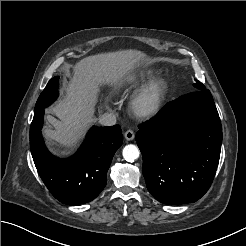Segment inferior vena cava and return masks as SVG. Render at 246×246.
<instances>
[{"instance_id": "obj_1", "label": "inferior vena cava", "mask_w": 246, "mask_h": 246, "mask_svg": "<svg viewBox=\"0 0 246 246\" xmlns=\"http://www.w3.org/2000/svg\"><path fill=\"white\" fill-rule=\"evenodd\" d=\"M102 126H113L116 124V116L113 113H104L99 117Z\"/></svg>"}]
</instances>
